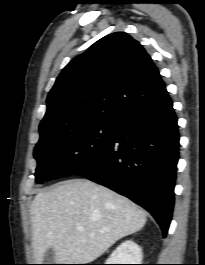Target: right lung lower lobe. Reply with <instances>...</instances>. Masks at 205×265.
Returning a JSON list of instances; mask_svg holds the SVG:
<instances>
[{
  "mask_svg": "<svg viewBox=\"0 0 205 265\" xmlns=\"http://www.w3.org/2000/svg\"><path fill=\"white\" fill-rule=\"evenodd\" d=\"M178 156L177 117L165 91L147 108L119 121L111 142L76 174L145 208L165 237L174 205Z\"/></svg>",
  "mask_w": 205,
  "mask_h": 265,
  "instance_id": "98d812e1",
  "label": "right lung lower lobe"
}]
</instances>
